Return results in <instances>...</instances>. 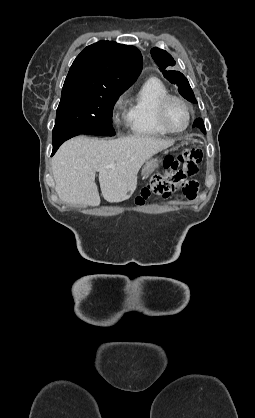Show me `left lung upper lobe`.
I'll list each match as a JSON object with an SVG mask.
<instances>
[{"mask_svg":"<svg viewBox=\"0 0 255 418\" xmlns=\"http://www.w3.org/2000/svg\"><path fill=\"white\" fill-rule=\"evenodd\" d=\"M151 56L156 64L160 67V71L164 77L168 79L172 84H176L179 87V93L188 101L197 103L187 78L179 71L168 70L169 67L175 65V60L173 57L165 50L159 49L157 47L151 49ZM202 132H204V130H202Z\"/></svg>","mask_w":255,"mask_h":418,"instance_id":"5c2ea615","label":"left lung upper lobe"}]
</instances>
